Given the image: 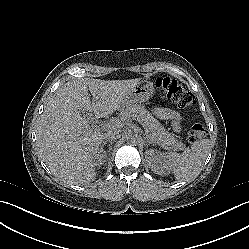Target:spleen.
I'll return each mask as SVG.
<instances>
[{
	"instance_id": "obj_1",
	"label": "spleen",
	"mask_w": 249,
	"mask_h": 249,
	"mask_svg": "<svg viewBox=\"0 0 249 249\" xmlns=\"http://www.w3.org/2000/svg\"><path fill=\"white\" fill-rule=\"evenodd\" d=\"M210 151V141L202 139L193 143L191 149L178 153H163L159 156L162 167L173 173L200 170Z\"/></svg>"
}]
</instances>
